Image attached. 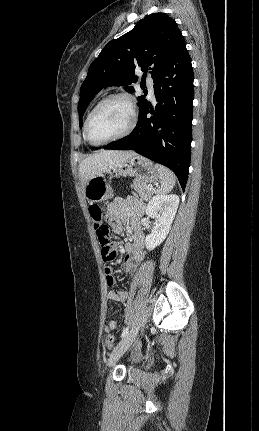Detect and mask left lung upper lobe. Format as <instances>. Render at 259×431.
I'll use <instances>...</instances> for the list:
<instances>
[{
    "instance_id": "left-lung-upper-lobe-1",
    "label": "left lung upper lobe",
    "mask_w": 259,
    "mask_h": 431,
    "mask_svg": "<svg viewBox=\"0 0 259 431\" xmlns=\"http://www.w3.org/2000/svg\"><path fill=\"white\" fill-rule=\"evenodd\" d=\"M183 40L175 20L165 13H153L139 21L135 27L118 39L112 40L103 48L90 65L88 75L80 89L78 112L80 126L87 105L104 87L110 85L126 86L136 82V69L148 71L154 79L163 63ZM133 93V87H125ZM138 97L140 105L146 100ZM140 107V106H139Z\"/></svg>"
}]
</instances>
